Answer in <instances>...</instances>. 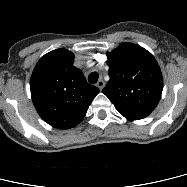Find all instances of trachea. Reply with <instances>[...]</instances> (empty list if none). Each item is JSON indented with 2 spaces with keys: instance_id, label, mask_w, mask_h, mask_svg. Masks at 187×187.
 <instances>
[{
  "instance_id": "trachea-1",
  "label": "trachea",
  "mask_w": 187,
  "mask_h": 187,
  "mask_svg": "<svg viewBox=\"0 0 187 187\" xmlns=\"http://www.w3.org/2000/svg\"><path fill=\"white\" fill-rule=\"evenodd\" d=\"M98 78H99L98 73L97 72H92L88 76V81H89V83L94 84L98 81Z\"/></svg>"
}]
</instances>
